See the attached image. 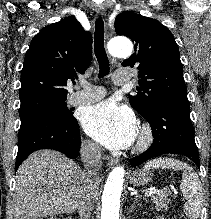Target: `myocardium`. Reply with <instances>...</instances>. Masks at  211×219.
Returning a JSON list of instances; mask_svg holds the SVG:
<instances>
[{"label":"myocardium","mask_w":211,"mask_h":219,"mask_svg":"<svg viewBox=\"0 0 211 219\" xmlns=\"http://www.w3.org/2000/svg\"><path fill=\"white\" fill-rule=\"evenodd\" d=\"M153 141V132L152 129L148 125H143L140 128V133L137 138L135 151L143 152L147 150Z\"/></svg>","instance_id":"f54148a6"}]
</instances>
